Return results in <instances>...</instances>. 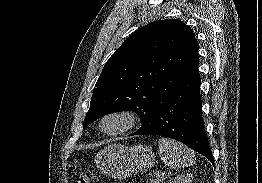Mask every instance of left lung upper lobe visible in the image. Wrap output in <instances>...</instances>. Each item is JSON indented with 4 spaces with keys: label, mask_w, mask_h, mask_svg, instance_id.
<instances>
[{
    "label": "left lung upper lobe",
    "mask_w": 262,
    "mask_h": 183,
    "mask_svg": "<svg viewBox=\"0 0 262 183\" xmlns=\"http://www.w3.org/2000/svg\"><path fill=\"white\" fill-rule=\"evenodd\" d=\"M198 42L177 19L154 21L132 33L109 58L97 80L86 128L116 111L136 112L144 130L160 104L197 63Z\"/></svg>",
    "instance_id": "obj_1"
}]
</instances>
